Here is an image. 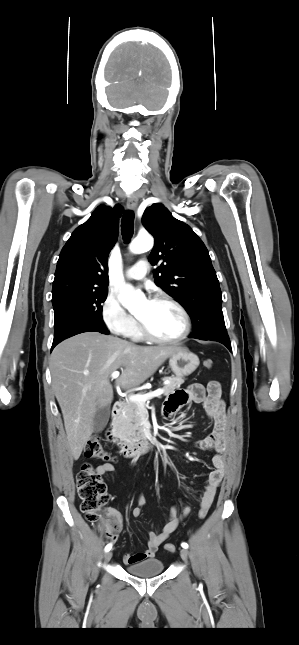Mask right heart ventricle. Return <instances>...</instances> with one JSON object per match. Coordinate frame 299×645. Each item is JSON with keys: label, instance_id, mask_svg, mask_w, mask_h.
<instances>
[{"label": "right heart ventricle", "instance_id": "e07e8e85", "mask_svg": "<svg viewBox=\"0 0 299 645\" xmlns=\"http://www.w3.org/2000/svg\"><path fill=\"white\" fill-rule=\"evenodd\" d=\"M128 336H130L134 340H140V339L143 338L141 333H140V331H139V329H138L137 324L134 326V328L131 330V332L128 334Z\"/></svg>", "mask_w": 299, "mask_h": 645}]
</instances>
